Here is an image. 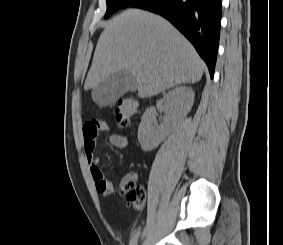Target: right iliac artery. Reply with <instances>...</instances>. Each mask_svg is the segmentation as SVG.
<instances>
[{
    "label": "right iliac artery",
    "mask_w": 283,
    "mask_h": 245,
    "mask_svg": "<svg viewBox=\"0 0 283 245\" xmlns=\"http://www.w3.org/2000/svg\"><path fill=\"white\" fill-rule=\"evenodd\" d=\"M140 232H137L130 241V245H137Z\"/></svg>",
    "instance_id": "obj_1"
}]
</instances>
